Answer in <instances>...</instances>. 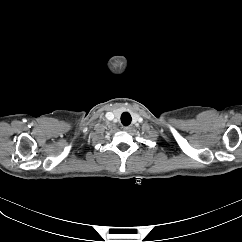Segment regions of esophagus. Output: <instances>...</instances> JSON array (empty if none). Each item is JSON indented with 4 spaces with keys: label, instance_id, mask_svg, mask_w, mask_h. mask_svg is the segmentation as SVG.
Instances as JSON below:
<instances>
[{
    "label": "esophagus",
    "instance_id": "obj_1",
    "mask_svg": "<svg viewBox=\"0 0 242 242\" xmlns=\"http://www.w3.org/2000/svg\"><path fill=\"white\" fill-rule=\"evenodd\" d=\"M123 129H124V131L129 132L132 129V127L131 126H125Z\"/></svg>",
    "mask_w": 242,
    "mask_h": 242
}]
</instances>
